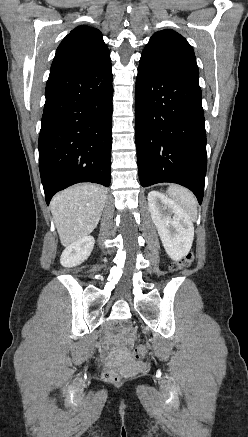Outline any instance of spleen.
Instances as JSON below:
<instances>
[{"label":"spleen","mask_w":248,"mask_h":437,"mask_svg":"<svg viewBox=\"0 0 248 437\" xmlns=\"http://www.w3.org/2000/svg\"><path fill=\"white\" fill-rule=\"evenodd\" d=\"M167 193L192 220L197 218V200L191 191L181 186L171 185Z\"/></svg>","instance_id":"1"}]
</instances>
